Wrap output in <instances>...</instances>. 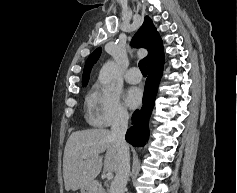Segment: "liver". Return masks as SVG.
<instances>
[{"label":"liver","instance_id":"6515ba94","mask_svg":"<svg viewBox=\"0 0 237 193\" xmlns=\"http://www.w3.org/2000/svg\"><path fill=\"white\" fill-rule=\"evenodd\" d=\"M103 153L105 156H100ZM120 163L119 147L111 131L87 129L73 132L66 142L63 156L65 189L76 191L93 183L102 167L107 172H117Z\"/></svg>","mask_w":237,"mask_h":193}]
</instances>
